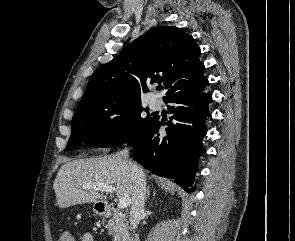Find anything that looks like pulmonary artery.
Returning a JSON list of instances; mask_svg holds the SVG:
<instances>
[{"label":"pulmonary artery","instance_id":"obj_1","mask_svg":"<svg viewBox=\"0 0 295 241\" xmlns=\"http://www.w3.org/2000/svg\"><path fill=\"white\" fill-rule=\"evenodd\" d=\"M150 106H151L152 108H158V107H159V102H158L156 99H152V100L150 101Z\"/></svg>","mask_w":295,"mask_h":241}]
</instances>
